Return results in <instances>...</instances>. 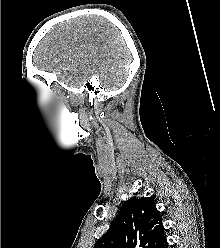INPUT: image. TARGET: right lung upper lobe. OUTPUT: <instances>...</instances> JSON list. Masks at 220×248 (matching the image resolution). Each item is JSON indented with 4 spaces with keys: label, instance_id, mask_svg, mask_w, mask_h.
Instances as JSON below:
<instances>
[{
    "label": "right lung upper lobe",
    "instance_id": "cb5924a9",
    "mask_svg": "<svg viewBox=\"0 0 220 248\" xmlns=\"http://www.w3.org/2000/svg\"><path fill=\"white\" fill-rule=\"evenodd\" d=\"M164 230L154 199L132 197L94 248H157L165 239Z\"/></svg>",
    "mask_w": 220,
    "mask_h": 248
}]
</instances>
